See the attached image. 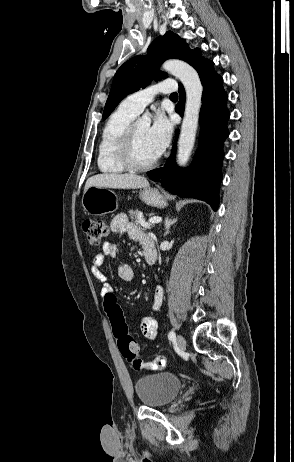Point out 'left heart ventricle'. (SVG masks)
<instances>
[{
  "label": "left heart ventricle",
  "instance_id": "obj_1",
  "mask_svg": "<svg viewBox=\"0 0 294 462\" xmlns=\"http://www.w3.org/2000/svg\"><path fill=\"white\" fill-rule=\"evenodd\" d=\"M148 130L149 127L141 123H138L135 129L134 155L139 163H147L158 156L150 140Z\"/></svg>",
  "mask_w": 294,
  "mask_h": 462
}]
</instances>
